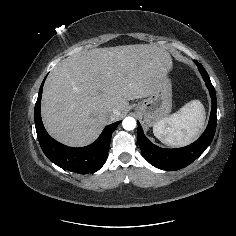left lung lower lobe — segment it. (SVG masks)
I'll return each instance as SVG.
<instances>
[{
  "mask_svg": "<svg viewBox=\"0 0 236 236\" xmlns=\"http://www.w3.org/2000/svg\"><path fill=\"white\" fill-rule=\"evenodd\" d=\"M198 69L209 90L212 108L208 126L204 133L194 143L176 149H164L151 143L143 133L142 127L138 122L137 139L144 158L153 166L166 171H175L182 169L196 160L211 143L216 130V111L217 100L215 89L210 81L208 73L195 61Z\"/></svg>",
  "mask_w": 236,
  "mask_h": 236,
  "instance_id": "0a47b994",
  "label": "left lung lower lobe"
}]
</instances>
